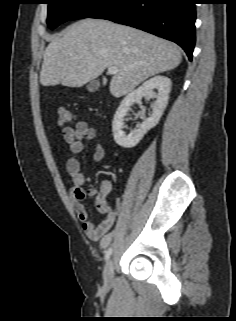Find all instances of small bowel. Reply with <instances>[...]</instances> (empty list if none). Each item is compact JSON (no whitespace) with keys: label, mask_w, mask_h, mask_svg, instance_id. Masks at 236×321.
<instances>
[{"label":"small bowel","mask_w":236,"mask_h":321,"mask_svg":"<svg viewBox=\"0 0 236 321\" xmlns=\"http://www.w3.org/2000/svg\"><path fill=\"white\" fill-rule=\"evenodd\" d=\"M62 135L68 144L69 156L64 160L71 188L70 198L73 209L82 222V228L86 236L91 240H100L101 246L106 247L109 243L107 233L114 225L118 209L111 207L107 202V197L112 191V183L104 179L100 182L98 190H91L90 195L94 196L97 211L105 216L101 222L89 219L88 211L84 205V197L80 196L83 185L86 182L85 175L81 171L80 163L75 155L83 150L85 141H97L93 159L101 162L105 156V148L99 138V132L87 121H79L75 126H66L62 129Z\"/></svg>","instance_id":"c3829d8e"}]
</instances>
